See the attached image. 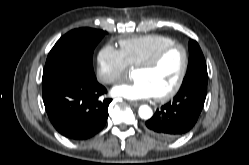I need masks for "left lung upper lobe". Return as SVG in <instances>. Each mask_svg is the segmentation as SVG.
Wrapping results in <instances>:
<instances>
[{
  "mask_svg": "<svg viewBox=\"0 0 249 165\" xmlns=\"http://www.w3.org/2000/svg\"><path fill=\"white\" fill-rule=\"evenodd\" d=\"M189 63L186 76L182 86L188 85L195 81L208 82L206 62L203 53L195 40L189 42Z\"/></svg>",
  "mask_w": 249,
  "mask_h": 165,
  "instance_id": "5c2ea615",
  "label": "left lung upper lobe"
}]
</instances>
